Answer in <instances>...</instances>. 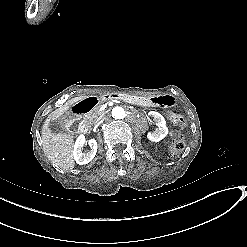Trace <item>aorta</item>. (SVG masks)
I'll list each match as a JSON object with an SVG mask.
<instances>
[{
	"instance_id": "obj_1",
	"label": "aorta",
	"mask_w": 247,
	"mask_h": 247,
	"mask_svg": "<svg viewBox=\"0 0 247 247\" xmlns=\"http://www.w3.org/2000/svg\"><path fill=\"white\" fill-rule=\"evenodd\" d=\"M126 116V112L122 107H114L112 109V117L115 119H123Z\"/></svg>"
}]
</instances>
